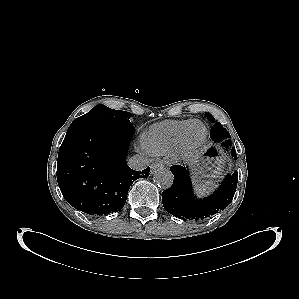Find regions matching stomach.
Wrapping results in <instances>:
<instances>
[{
  "label": "stomach",
  "mask_w": 299,
  "mask_h": 299,
  "mask_svg": "<svg viewBox=\"0 0 299 299\" xmlns=\"http://www.w3.org/2000/svg\"><path fill=\"white\" fill-rule=\"evenodd\" d=\"M223 166L222 152L216 147L209 148L200 156V162L193 170V178L197 183H201L205 179L217 178L221 174Z\"/></svg>",
  "instance_id": "obj_1"
}]
</instances>
